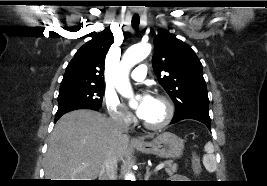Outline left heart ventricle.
Wrapping results in <instances>:
<instances>
[{
	"label": "left heart ventricle",
	"mask_w": 267,
	"mask_h": 186,
	"mask_svg": "<svg viewBox=\"0 0 267 186\" xmlns=\"http://www.w3.org/2000/svg\"><path fill=\"white\" fill-rule=\"evenodd\" d=\"M165 112L164 105L155 99L147 117L143 120L151 124L158 123L164 118Z\"/></svg>",
	"instance_id": "obj_1"
}]
</instances>
